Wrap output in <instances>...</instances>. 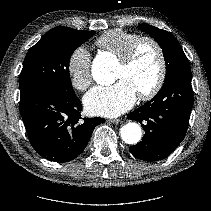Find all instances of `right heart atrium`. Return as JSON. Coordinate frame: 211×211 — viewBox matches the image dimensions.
<instances>
[{
  "mask_svg": "<svg viewBox=\"0 0 211 211\" xmlns=\"http://www.w3.org/2000/svg\"><path fill=\"white\" fill-rule=\"evenodd\" d=\"M67 72L75 89L85 91L91 85V55L85 46H78L71 52L67 61Z\"/></svg>",
  "mask_w": 211,
  "mask_h": 211,
  "instance_id": "obj_1",
  "label": "right heart atrium"
}]
</instances>
